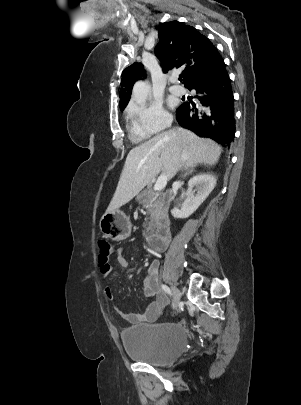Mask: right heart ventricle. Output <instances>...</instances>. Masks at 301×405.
I'll list each match as a JSON object with an SVG mask.
<instances>
[{
    "instance_id": "right-heart-ventricle-1",
    "label": "right heart ventricle",
    "mask_w": 301,
    "mask_h": 405,
    "mask_svg": "<svg viewBox=\"0 0 301 405\" xmlns=\"http://www.w3.org/2000/svg\"><path fill=\"white\" fill-rule=\"evenodd\" d=\"M127 119H128L127 126H128V130L130 132L131 137L136 140L145 139L147 137V135H145L139 131V129L137 128V126L135 125V123L132 119L130 111L127 112Z\"/></svg>"
}]
</instances>
